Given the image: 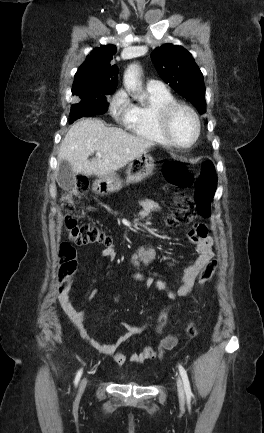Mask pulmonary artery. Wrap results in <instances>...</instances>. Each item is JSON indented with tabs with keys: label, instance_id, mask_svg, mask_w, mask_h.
<instances>
[{
	"label": "pulmonary artery",
	"instance_id": "pulmonary-artery-1",
	"mask_svg": "<svg viewBox=\"0 0 264 433\" xmlns=\"http://www.w3.org/2000/svg\"><path fill=\"white\" fill-rule=\"evenodd\" d=\"M146 86L147 89L151 91L161 92L166 90L165 84L162 81L156 79L148 80Z\"/></svg>",
	"mask_w": 264,
	"mask_h": 433
}]
</instances>
